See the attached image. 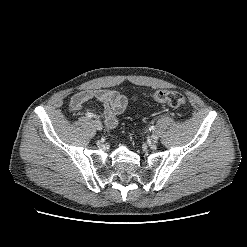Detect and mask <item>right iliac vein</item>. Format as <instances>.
<instances>
[{"mask_svg": "<svg viewBox=\"0 0 247 247\" xmlns=\"http://www.w3.org/2000/svg\"><path fill=\"white\" fill-rule=\"evenodd\" d=\"M93 123L97 130L101 131L103 129V125L99 120H94Z\"/></svg>", "mask_w": 247, "mask_h": 247, "instance_id": "63e3f726", "label": "right iliac vein"}]
</instances>
